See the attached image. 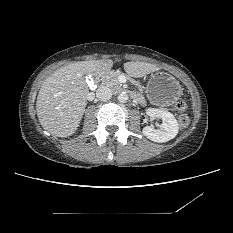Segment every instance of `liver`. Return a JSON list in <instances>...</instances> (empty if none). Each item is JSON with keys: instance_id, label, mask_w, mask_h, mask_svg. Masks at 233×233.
Here are the masks:
<instances>
[{"instance_id": "liver-1", "label": "liver", "mask_w": 233, "mask_h": 233, "mask_svg": "<svg viewBox=\"0 0 233 233\" xmlns=\"http://www.w3.org/2000/svg\"><path fill=\"white\" fill-rule=\"evenodd\" d=\"M113 67V61L91 60L69 64L49 76L42 84L36 101L41 126L57 137H69L77 130L87 105L89 94L85 75L99 77ZM124 70L140 78L160 70L151 63L131 61Z\"/></svg>"}]
</instances>
